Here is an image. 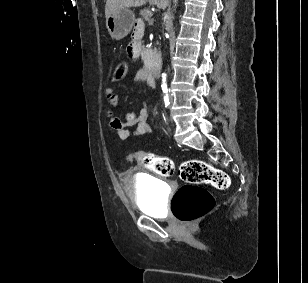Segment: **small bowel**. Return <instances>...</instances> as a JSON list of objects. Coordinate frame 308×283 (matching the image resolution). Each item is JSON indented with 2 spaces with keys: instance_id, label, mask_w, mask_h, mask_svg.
I'll list each match as a JSON object with an SVG mask.
<instances>
[{
  "instance_id": "small-bowel-1",
  "label": "small bowel",
  "mask_w": 308,
  "mask_h": 283,
  "mask_svg": "<svg viewBox=\"0 0 308 283\" xmlns=\"http://www.w3.org/2000/svg\"><path fill=\"white\" fill-rule=\"evenodd\" d=\"M144 34V24L137 21L130 42L126 47V53L133 59L143 58L141 40ZM150 77L149 70L143 66L135 74V80L147 81ZM104 95L110 105L108 113L110 127L121 139H127L131 136H141L144 134H152L153 129L149 124V113L142 108L137 112H120L118 111V96L112 86L104 89ZM119 113V114H118Z\"/></svg>"
}]
</instances>
